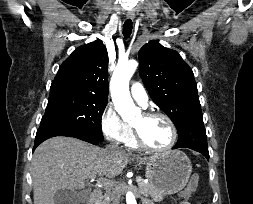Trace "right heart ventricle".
Segmentation results:
<instances>
[{
	"label": "right heart ventricle",
	"instance_id": "1",
	"mask_svg": "<svg viewBox=\"0 0 253 204\" xmlns=\"http://www.w3.org/2000/svg\"><path fill=\"white\" fill-rule=\"evenodd\" d=\"M126 145L131 148V149H137L139 146L135 140V137H134V134H133V131L129 137V139L126 141Z\"/></svg>",
	"mask_w": 253,
	"mask_h": 204
}]
</instances>
